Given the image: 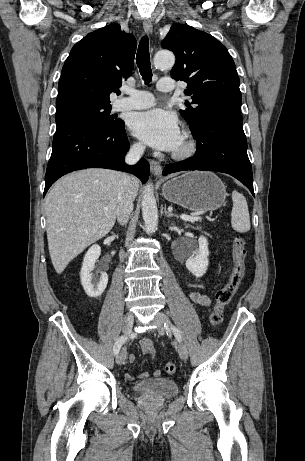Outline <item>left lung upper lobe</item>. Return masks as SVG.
I'll return each instance as SVG.
<instances>
[{
  "label": "left lung upper lobe",
  "mask_w": 305,
  "mask_h": 461,
  "mask_svg": "<svg viewBox=\"0 0 305 461\" xmlns=\"http://www.w3.org/2000/svg\"><path fill=\"white\" fill-rule=\"evenodd\" d=\"M171 50L176 62L171 70L175 80H183L192 104L185 102L181 115L194 128L204 116L241 108L240 81L228 50L213 36L191 26L174 24L161 42Z\"/></svg>",
  "instance_id": "5c2ea615"
}]
</instances>
